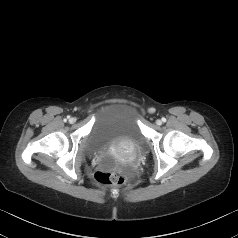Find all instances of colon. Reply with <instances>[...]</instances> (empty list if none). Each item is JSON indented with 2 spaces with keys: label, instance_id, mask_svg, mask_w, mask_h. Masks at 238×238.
<instances>
[{
  "label": "colon",
  "instance_id": "5ec220e1",
  "mask_svg": "<svg viewBox=\"0 0 238 238\" xmlns=\"http://www.w3.org/2000/svg\"><path fill=\"white\" fill-rule=\"evenodd\" d=\"M94 180L100 185L117 186L127 180V174L121 167L102 168L95 172Z\"/></svg>",
  "mask_w": 238,
  "mask_h": 238
}]
</instances>
